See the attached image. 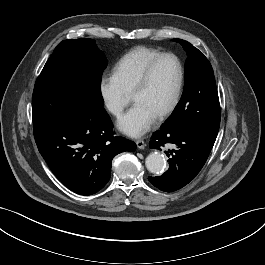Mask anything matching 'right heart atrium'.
I'll return each mask as SVG.
<instances>
[{"mask_svg":"<svg viewBox=\"0 0 265 265\" xmlns=\"http://www.w3.org/2000/svg\"><path fill=\"white\" fill-rule=\"evenodd\" d=\"M99 95L104 107L114 116H120L129 101V95L123 91L113 75L101 77Z\"/></svg>","mask_w":265,"mask_h":265,"instance_id":"1","label":"right heart atrium"}]
</instances>
